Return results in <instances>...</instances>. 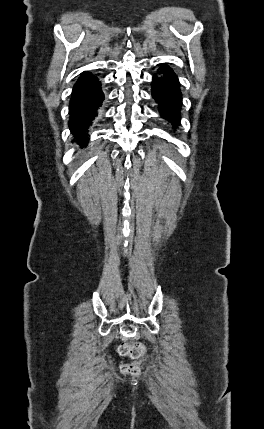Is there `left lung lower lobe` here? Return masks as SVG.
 <instances>
[{"label": "left lung lower lobe", "instance_id": "left-lung-lower-lobe-1", "mask_svg": "<svg viewBox=\"0 0 264 429\" xmlns=\"http://www.w3.org/2000/svg\"><path fill=\"white\" fill-rule=\"evenodd\" d=\"M160 77L153 76L152 96L159 104L161 116L171 123L179 124L182 94L176 74L168 66L158 70Z\"/></svg>", "mask_w": 264, "mask_h": 429}]
</instances>
